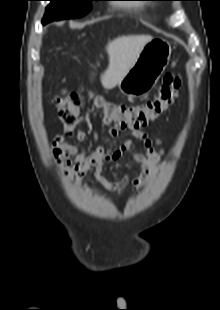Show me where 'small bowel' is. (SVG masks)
I'll use <instances>...</instances> for the list:
<instances>
[{"mask_svg": "<svg viewBox=\"0 0 220 310\" xmlns=\"http://www.w3.org/2000/svg\"><path fill=\"white\" fill-rule=\"evenodd\" d=\"M110 137L115 138L119 130L110 127L107 130ZM133 136L142 142L144 152L133 149L132 141L127 140L117 148L98 146L90 153L77 148L67 141L63 135H57L51 144V154L55 162L64 168V176L75 178L80 188L81 183L89 171H93L95 179L104 187L111 190H122L128 186L130 180L125 178L120 182H110L102 174L103 163L119 160L123 155L129 154L134 161L142 165V176L132 181L135 191L141 189L146 182L157 175L165 167V162L161 160L163 151L154 146V142L146 133L134 130ZM88 137L87 131L81 130L71 138L77 143H84ZM96 137V135H95ZM160 144V141L156 142Z\"/></svg>", "mask_w": 220, "mask_h": 310, "instance_id": "small-bowel-1", "label": "small bowel"}]
</instances>
